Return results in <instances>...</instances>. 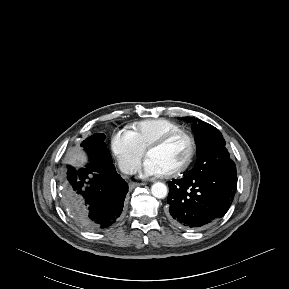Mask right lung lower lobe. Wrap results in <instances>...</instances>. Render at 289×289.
Returning <instances> with one entry per match:
<instances>
[{
	"mask_svg": "<svg viewBox=\"0 0 289 289\" xmlns=\"http://www.w3.org/2000/svg\"><path fill=\"white\" fill-rule=\"evenodd\" d=\"M87 152L92 163L78 172L70 167L67 191L79 222L88 229H105L119 219L128 184L117 174L111 157ZM85 183L89 186L82 190Z\"/></svg>",
	"mask_w": 289,
	"mask_h": 289,
	"instance_id": "obj_1",
	"label": "right lung lower lobe"
}]
</instances>
